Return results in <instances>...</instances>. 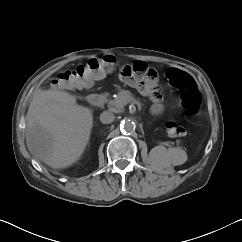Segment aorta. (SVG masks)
<instances>
[{"label":"aorta","mask_w":242,"mask_h":242,"mask_svg":"<svg viewBox=\"0 0 242 242\" xmlns=\"http://www.w3.org/2000/svg\"><path fill=\"white\" fill-rule=\"evenodd\" d=\"M120 128L124 132H132L135 130V123L132 120H124L121 122Z\"/></svg>","instance_id":"aorta-1"}]
</instances>
